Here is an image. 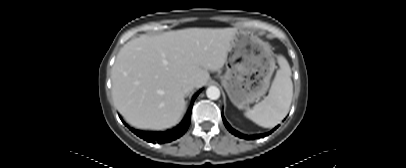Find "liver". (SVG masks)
<instances>
[{
	"mask_svg": "<svg viewBox=\"0 0 406 168\" xmlns=\"http://www.w3.org/2000/svg\"><path fill=\"white\" fill-rule=\"evenodd\" d=\"M236 28H187L130 40L112 68V95L118 111L141 129L176 125L185 110L183 85L196 88L227 60Z\"/></svg>",
	"mask_w": 406,
	"mask_h": 168,
	"instance_id": "liver-1",
	"label": "liver"
}]
</instances>
